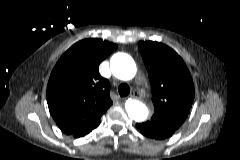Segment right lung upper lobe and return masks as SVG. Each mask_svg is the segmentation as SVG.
<instances>
[{
  "label": "right lung upper lobe",
  "mask_w": 240,
  "mask_h": 160,
  "mask_svg": "<svg viewBox=\"0 0 240 160\" xmlns=\"http://www.w3.org/2000/svg\"><path fill=\"white\" fill-rule=\"evenodd\" d=\"M117 45L91 38L72 45L53 68L47 85L50 113L67 135L100 122L112 105L107 79L99 64Z\"/></svg>",
  "instance_id": "1"
}]
</instances>
